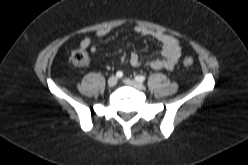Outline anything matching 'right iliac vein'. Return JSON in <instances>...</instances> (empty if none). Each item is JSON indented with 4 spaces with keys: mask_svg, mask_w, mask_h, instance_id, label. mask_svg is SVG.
Masks as SVG:
<instances>
[{
    "mask_svg": "<svg viewBox=\"0 0 248 165\" xmlns=\"http://www.w3.org/2000/svg\"><path fill=\"white\" fill-rule=\"evenodd\" d=\"M117 78L115 76H111L109 79H108V86L109 87H114L116 86L117 84Z\"/></svg>",
    "mask_w": 248,
    "mask_h": 165,
    "instance_id": "1",
    "label": "right iliac vein"
}]
</instances>
